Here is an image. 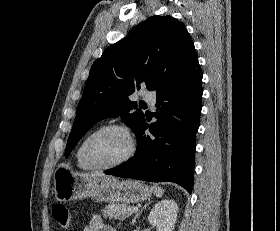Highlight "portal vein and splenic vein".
Instances as JSON below:
<instances>
[{"label":"portal vein and splenic vein","mask_w":280,"mask_h":231,"mask_svg":"<svg viewBox=\"0 0 280 231\" xmlns=\"http://www.w3.org/2000/svg\"><path fill=\"white\" fill-rule=\"evenodd\" d=\"M128 211H136V207H127Z\"/></svg>","instance_id":"1"}]
</instances>
